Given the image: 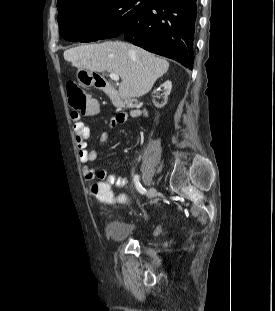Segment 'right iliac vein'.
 <instances>
[{"label":"right iliac vein","instance_id":"63e3f726","mask_svg":"<svg viewBox=\"0 0 275 311\" xmlns=\"http://www.w3.org/2000/svg\"><path fill=\"white\" fill-rule=\"evenodd\" d=\"M156 195V189L154 187H151L149 189V197L153 198Z\"/></svg>","mask_w":275,"mask_h":311}]
</instances>
